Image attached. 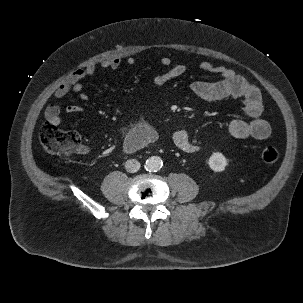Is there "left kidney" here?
<instances>
[{
	"mask_svg": "<svg viewBox=\"0 0 303 303\" xmlns=\"http://www.w3.org/2000/svg\"><path fill=\"white\" fill-rule=\"evenodd\" d=\"M209 167L215 172H222L225 170L226 166L228 165V161L225 156L220 152H214L209 160H208Z\"/></svg>",
	"mask_w": 303,
	"mask_h": 303,
	"instance_id": "obj_1",
	"label": "left kidney"
}]
</instances>
